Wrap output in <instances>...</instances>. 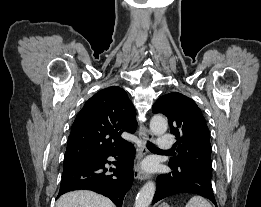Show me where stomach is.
Masks as SVG:
<instances>
[{
    "label": "stomach",
    "mask_w": 261,
    "mask_h": 207,
    "mask_svg": "<svg viewBox=\"0 0 261 207\" xmlns=\"http://www.w3.org/2000/svg\"><path fill=\"white\" fill-rule=\"evenodd\" d=\"M159 207H170V206L168 204H166V203H163Z\"/></svg>",
    "instance_id": "1"
}]
</instances>
